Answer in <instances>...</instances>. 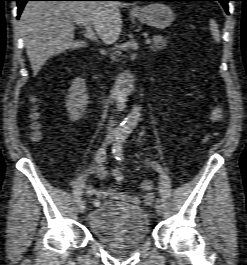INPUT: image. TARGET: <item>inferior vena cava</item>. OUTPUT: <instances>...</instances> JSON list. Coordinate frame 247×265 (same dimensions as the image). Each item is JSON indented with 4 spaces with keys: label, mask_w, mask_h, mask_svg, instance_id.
Wrapping results in <instances>:
<instances>
[{
    "label": "inferior vena cava",
    "mask_w": 247,
    "mask_h": 265,
    "mask_svg": "<svg viewBox=\"0 0 247 265\" xmlns=\"http://www.w3.org/2000/svg\"><path fill=\"white\" fill-rule=\"evenodd\" d=\"M115 126H116V122H115L113 116H111L110 120L108 122V127H107L108 131L112 132Z\"/></svg>",
    "instance_id": "obj_1"
}]
</instances>
